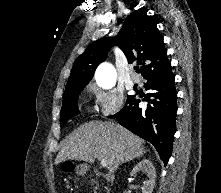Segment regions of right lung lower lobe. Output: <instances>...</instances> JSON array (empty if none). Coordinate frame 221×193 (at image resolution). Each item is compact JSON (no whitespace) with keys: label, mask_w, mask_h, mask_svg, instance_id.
I'll return each instance as SVG.
<instances>
[{"label":"right lung lower lobe","mask_w":221,"mask_h":193,"mask_svg":"<svg viewBox=\"0 0 221 193\" xmlns=\"http://www.w3.org/2000/svg\"><path fill=\"white\" fill-rule=\"evenodd\" d=\"M144 78L147 80L145 88L150 90L145 97L147 108H140V98L133 95L121 111L110 117L117 118L123 127L152 143L166 165L172 152L176 127L175 78L171 66Z\"/></svg>","instance_id":"obj_1"}]
</instances>
